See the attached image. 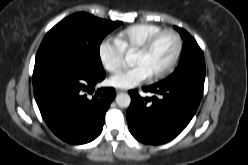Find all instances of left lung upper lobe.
I'll return each instance as SVG.
<instances>
[{
  "label": "left lung upper lobe",
  "instance_id": "1",
  "mask_svg": "<svg viewBox=\"0 0 248 165\" xmlns=\"http://www.w3.org/2000/svg\"><path fill=\"white\" fill-rule=\"evenodd\" d=\"M184 39V48L180 62L170 76L161 80H177L186 77L192 73L205 74L204 54L196 40L184 29L174 27ZM159 81V82H161Z\"/></svg>",
  "mask_w": 248,
  "mask_h": 165
}]
</instances>
